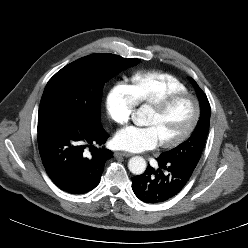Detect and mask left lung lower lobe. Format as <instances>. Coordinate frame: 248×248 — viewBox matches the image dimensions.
Segmentation results:
<instances>
[{
	"label": "left lung lower lobe",
	"mask_w": 248,
	"mask_h": 248,
	"mask_svg": "<svg viewBox=\"0 0 248 248\" xmlns=\"http://www.w3.org/2000/svg\"><path fill=\"white\" fill-rule=\"evenodd\" d=\"M159 169L150 165L146 171L132 178V190L146 203H160L177 195L189 181L197 162L167 161L157 158ZM165 170V171H162Z\"/></svg>",
	"instance_id": "1"
}]
</instances>
